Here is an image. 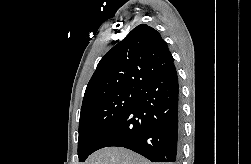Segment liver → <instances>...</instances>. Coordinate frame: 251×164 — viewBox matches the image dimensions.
Wrapping results in <instances>:
<instances>
[{"instance_id": "6515ba94", "label": "liver", "mask_w": 251, "mask_h": 164, "mask_svg": "<svg viewBox=\"0 0 251 164\" xmlns=\"http://www.w3.org/2000/svg\"><path fill=\"white\" fill-rule=\"evenodd\" d=\"M85 164H151L144 157L120 147H107L96 151Z\"/></svg>"}]
</instances>
